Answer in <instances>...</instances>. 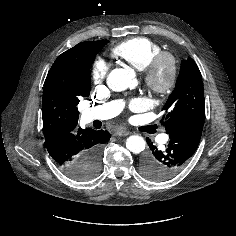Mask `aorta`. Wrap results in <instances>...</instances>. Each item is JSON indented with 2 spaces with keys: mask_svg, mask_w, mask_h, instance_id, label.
<instances>
[{
  "mask_svg": "<svg viewBox=\"0 0 236 236\" xmlns=\"http://www.w3.org/2000/svg\"><path fill=\"white\" fill-rule=\"evenodd\" d=\"M135 72L131 68H116L107 77V85L113 91H124L134 85ZM126 147L133 153H141L146 147V141L139 135L129 136Z\"/></svg>",
  "mask_w": 236,
  "mask_h": 236,
  "instance_id": "obj_1",
  "label": "aorta"
}]
</instances>
